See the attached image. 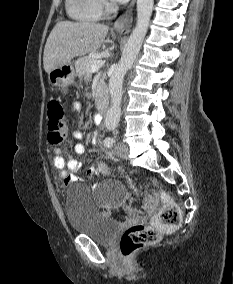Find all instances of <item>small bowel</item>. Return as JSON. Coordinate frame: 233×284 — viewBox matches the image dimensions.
Here are the masks:
<instances>
[{
    "mask_svg": "<svg viewBox=\"0 0 233 284\" xmlns=\"http://www.w3.org/2000/svg\"><path fill=\"white\" fill-rule=\"evenodd\" d=\"M79 106L76 104L73 107V111L75 113L78 112ZM101 117L97 116L96 121L100 122ZM73 137L75 140L78 141L76 145L74 146V151L77 155H85L86 154V146L81 142L84 138V135L80 131H74ZM53 164L55 168L59 171V175L62 178L64 184H70L77 180L76 173L81 167V162H79L76 159L73 158H67L66 154L60 150L55 149L54 151V158H53ZM102 171L99 170L97 166H95V163L89 168L87 175L88 177H95L98 175H101Z\"/></svg>",
    "mask_w": 233,
    "mask_h": 284,
    "instance_id": "small-bowel-1",
    "label": "small bowel"
}]
</instances>
